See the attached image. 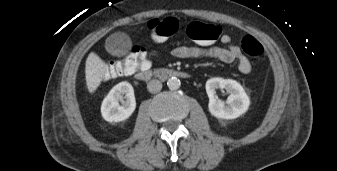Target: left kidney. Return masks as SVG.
<instances>
[{
  "label": "left kidney",
  "mask_w": 337,
  "mask_h": 171,
  "mask_svg": "<svg viewBox=\"0 0 337 171\" xmlns=\"http://www.w3.org/2000/svg\"><path fill=\"white\" fill-rule=\"evenodd\" d=\"M225 89L229 94L226 104L216 98V89ZM206 92L209 97V112L216 118L235 119L244 114L250 105V99L245 90L235 80L219 77L211 78L206 82Z\"/></svg>",
  "instance_id": "5707ae66"
}]
</instances>
